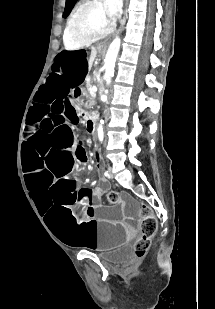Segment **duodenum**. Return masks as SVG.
<instances>
[{
    "instance_id": "1",
    "label": "duodenum",
    "mask_w": 215,
    "mask_h": 309,
    "mask_svg": "<svg viewBox=\"0 0 215 309\" xmlns=\"http://www.w3.org/2000/svg\"><path fill=\"white\" fill-rule=\"evenodd\" d=\"M98 119V115L97 114H88L87 118H86V123H87V127L89 130L91 131H95V125Z\"/></svg>"
}]
</instances>
